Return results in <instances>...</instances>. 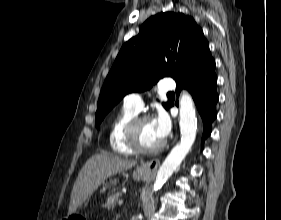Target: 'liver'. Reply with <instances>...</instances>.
Instances as JSON below:
<instances>
[{
  "label": "liver",
  "instance_id": "obj_1",
  "mask_svg": "<svg viewBox=\"0 0 281 220\" xmlns=\"http://www.w3.org/2000/svg\"><path fill=\"white\" fill-rule=\"evenodd\" d=\"M136 164L135 160L121 159L106 152L90 157L83 165L74 183L68 214L75 212L105 179L127 171Z\"/></svg>",
  "mask_w": 281,
  "mask_h": 220
}]
</instances>
